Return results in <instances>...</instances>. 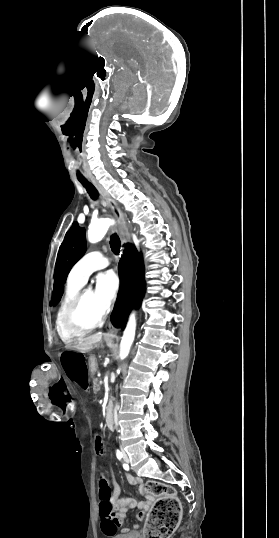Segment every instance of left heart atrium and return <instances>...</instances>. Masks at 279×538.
<instances>
[{
  "label": "left heart atrium",
  "instance_id": "39dd6f15",
  "mask_svg": "<svg viewBox=\"0 0 279 538\" xmlns=\"http://www.w3.org/2000/svg\"><path fill=\"white\" fill-rule=\"evenodd\" d=\"M119 289V278L114 270L100 273L96 278V296L104 313L110 308Z\"/></svg>",
  "mask_w": 279,
  "mask_h": 538
}]
</instances>
